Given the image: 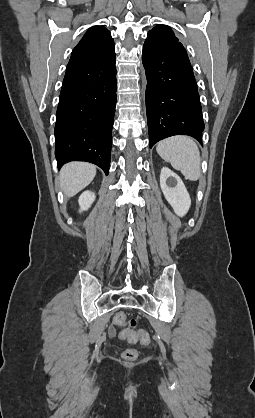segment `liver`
Returning <instances> with one entry per match:
<instances>
[{
    "label": "liver",
    "mask_w": 255,
    "mask_h": 418,
    "mask_svg": "<svg viewBox=\"0 0 255 418\" xmlns=\"http://www.w3.org/2000/svg\"><path fill=\"white\" fill-rule=\"evenodd\" d=\"M96 175V167L86 162H71L60 171V188L67 197H73L88 186Z\"/></svg>",
    "instance_id": "1"
}]
</instances>
